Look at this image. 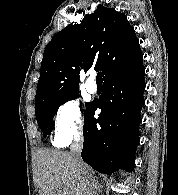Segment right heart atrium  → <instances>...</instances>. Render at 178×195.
Wrapping results in <instances>:
<instances>
[{
  "mask_svg": "<svg viewBox=\"0 0 178 195\" xmlns=\"http://www.w3.org/2000/svg\"><path fill=\"white\" fill-rule=\"evenodd\" d=\"M55 144L64 146L83 133V117L78 100L64 101L55 113Z\"/></svg>",
  "mask_w": 178,
  "mask_h": 195,
  "instance_id": "1",
  "label": "right heart atrium"
}]
</instances>
